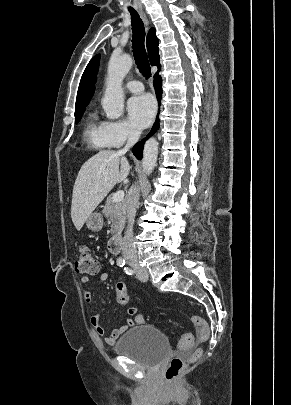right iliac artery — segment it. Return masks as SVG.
Here are the masks:
<instances>
[{
    "label": "right iliac artery",
    "instance_id": "right-iliac-artery-1",
    "mask_svg": "<svg viewBox=\"0 0 291 405\" xmlns=\"http://www.w3.org/2000/svg\"><path fill=\"white\" fill-rule=\"evenodd\" d=\"M117 265L120 267H123L125 265V260L124 259H118L117 260Z\"/></svg>",
    "mask_w": 291,
    "mask_h": 405
}]
</instances>
